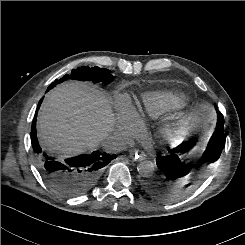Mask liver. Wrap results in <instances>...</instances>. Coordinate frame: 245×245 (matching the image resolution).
<instances>
[{
  "label": "liver",
  "instance_id": "liver-1",
  "mask_svg": "<svg viewBox=\"0 0 245 245\" xmlns=\"http://www.w3.org/2000/svg\"><path fill=\"white\" fill-rule=\"evenodd\" d=\"M113 124L107 96L70 81L46 95L38 115V138L45 150L64 159L95 148Z\"/></svg>",
  "mask_w": 245,
  "mask_h": 245
}]
</instances>
